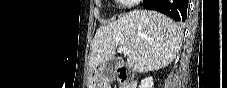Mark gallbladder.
I'll use <instances>...</instances> for the list:
<instances>
[{
    "mask_svg": "<svg viewBox=\"0 0 227 88\" xmlns=\"http://www.w3.org/2000/svg\"><path fill=\"white\" fill-rule=\"evenodd\" d=\"M119 60L117 59H110L105 67H104V77L109 79V80H114L115 79V72H114V69H115V66L118 64Z\"/></svg>",
    "mask_w": 227,
    "mask_h": 88,
    "instance_id": "bac80fb5",
    "label": "gallbladder"
}]
</instances>
